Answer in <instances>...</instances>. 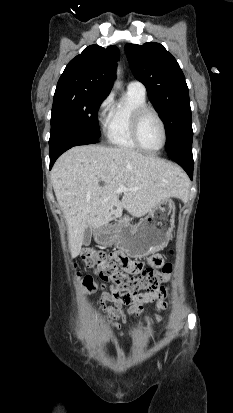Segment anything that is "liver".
<instances>
[{
  "label": "liver",
  "instance_id": "1",
  "mask_svg": "<svg viewBox=\"0 0 233 413\" xmlns=\"http://www.w3.org/2000/svg\"><path fill=\"white\" fill-rule=\"evenodd\" d=\"M51 177L66 219L72 258L81 252L86 228L107 225L123 209L144 216L163 200L181 197L186 188L178 166L128 148L101 145L68 150L54 164ZM120 185L127 189L122 200Z\"/></svg>",
  "mask_w": 233,
  "mask_h": 413
}]
</instances>
